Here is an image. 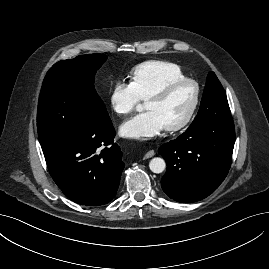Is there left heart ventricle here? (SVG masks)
<instances>
[{
	"mask_svg": "<svg viewBox=\"0 0 269 269\" xmlns=\"http://www.w3.org/2000/svg\"><path fill=\"white\" fill-rule=\"evenodd\" d=\"M195 88L184 84L173 89L162 100L148 101L144 105L146 111L155 112L165 124V127L179 123L187 115L194 99Z\"/></svg>",
	"mask_w": 269,
	"mask_h": 269,
	"instance_id": "left-heart-ventricle-1",
	"label": "left heart ventricle"
}]
</instances>
